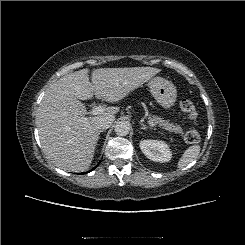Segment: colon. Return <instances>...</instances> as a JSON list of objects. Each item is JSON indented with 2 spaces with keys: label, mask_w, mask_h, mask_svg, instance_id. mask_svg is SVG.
<instances>
[{
  "label": "colon",
  "mask_w": 245,
  "mask_h": 245,
  "mask_svg": "<svg viewBox=\"0 0 245 245\" xmlns=\"http://www.w3.org/2000/svg\"><path fill=\"white\" fill-rule=\"evenodd\" d=\"M179 107L183 113H185L188 119L194 124L198 123V112L196 110L195 105L189 99L183 98L179 102ZM184 139L189 144L197 143L200 140V133L196 127L189 129Z\"/></svg>",
  "instance_id": "1"
}]
</instances>
